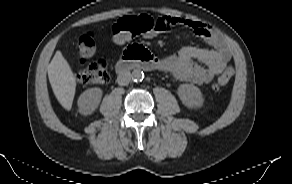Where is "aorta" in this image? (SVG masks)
<instances>
[{
  "instance_id": "1",
  "label": "aorta",
  "mask_w": 292,
  "mask_h": 184,
  "mask_svg": "<svg viewBox=\"0 0 292 184\" xmlns=\"http://www.w3.org/2000/svg\"><path fill=\"white\" fill-rule=\"evenodd\" d=\"M131 77H132L133 81L140 82L144 78V73H143V71H141L139 69H135V70H133Z\"/></svg>"
}]
</instances>
